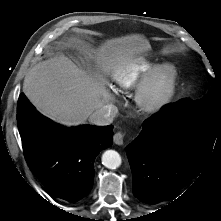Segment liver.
Returning <instances> with one entry per match:
<instances>
[{
	"label": "liver",
	"instance_id": "liver-1",
	"mask_svg": "<svg viewBox=\"0 0 221 221\" xmlns=\"http://www.w3.org/2000/svg\"><path fill=\"white\" fill-rule=\"evenodd\" d=\"M149 48L144 37L134 34L107 40L95 53L102 70L109 72ZM23 92L41 113L68 126L85 123L112 100L101 77L91 76L65 55L31 68Z\"/></svg>",
	"mask_w": 221,
	"mask_h": 221
}]
</instances>
